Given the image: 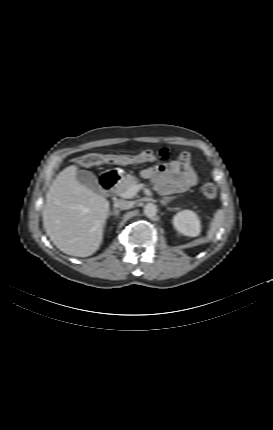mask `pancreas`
<instances>
[{
  "mask_svg": "<svg viewBox=\"0 0 273 430\" xmlns=\"http://www.w3.org/2000/svg\"><path fill=\"white\" fill-rule=\"evenodd\" d=\"M138 180L134 176L128 174L123 177L122 181L116 186L115 192L120 195L127 191L131 186L137 185Z\"/></svg>",
  "mask_w": 273,
  "mask_h": 430,
  "instance_id": "1",
  "label": "pancreas"
}]
</instances>
